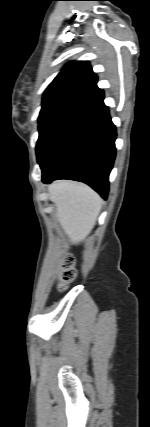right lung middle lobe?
Instances as JSON below:
<instances>
[{"label": "right lung middle lobe", "instance_id": "obj_1", "mask_svg": "<svg viewBox=\"0 0 150 427\" xmlns=\"http://www.w3.org/2000/svg\"><path fill=\"white\" fill-rule=\"evenodd\" d=\"M76 108L55 107L41 110L39 115V138L36 146L37 160L40 166L48 156L53 144L80 112Z\"/></svg>", "mask_w": 150, "mask_h": 427}]
</instances>
